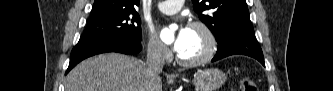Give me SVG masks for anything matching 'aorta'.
<instances>
[{"mask_svg": "<svg viewBox=\"0 0 333 91\" xmlns=\"http://www.w3.org/2000/svg\"><path fill=\"white\" fill-rule=\"evenodd\" d=\"M173 29V26H170L169 28H164L160 34L161 39L165 41L172 40L174 38Z\"/></svg>", "mask_w": 333, "mask_h": 91, "instance_id": "762f6f07", "label": "aorta"}]
</instances>
